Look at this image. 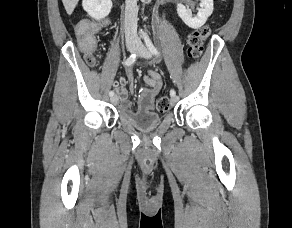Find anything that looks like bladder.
<instances>
[{
  "instance_id": "31cf9c89",
  "label": "bladder",
  "mask_w": 292,
  "mask_h": 228,
  "mask_svg": "<svg viewBox=\"0 0 292 228\" xmlns=\"http://www.w3.org/2000/svg\"><path fill=\"white\" fill-rule=\"evenodd\" d=\"M122 117L131 125L139 129L154 128L161 122V117L153 111L145 113H122Z\"/></svg>"
}]
</instances>
